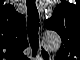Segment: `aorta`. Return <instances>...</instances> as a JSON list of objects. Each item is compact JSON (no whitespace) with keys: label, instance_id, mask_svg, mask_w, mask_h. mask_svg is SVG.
<instances>
[{"label":"aorta","instance_id":"1","mask_svg":"<svg viewBox=\"0 0 80 60\" xmlns=\"http://www.w3.org/2000/svg\"><path fill=\"white\" fill-rule=\"evenodd\" d=\"M47 47L53 50H58L61 45V38L56 33H49L45 35Z\"/></svg>","mask_w":80,"mask_h":60}]
</instances>
